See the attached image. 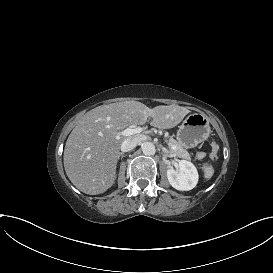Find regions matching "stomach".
Returning <instances> with one entry per match:
<instances>
[{
  "mask_svg": "<svg viewBox=\"0 0 273 273\" xmlns=\"http://www.w3.org/2000/svg\"><path fill=\"white\" fill-rule=\"evenodd\" d=\"M211 133L209 119L202 113L188 115L177 131L178 143L188 149L205 141Z\"/></svg>",
  "mask_w": 273,
  "mask_h": 273,
  "instance_id": "obj_1",
  "label": "stomach"
}]
</instances>
